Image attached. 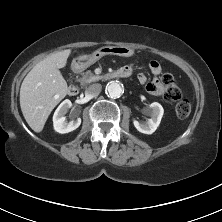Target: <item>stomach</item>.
<instances>
[{
  "label": "stomach",
  "mask_w": 222,
  "mask_h": 222,
  "mask_svg": "<svg viewBox=\"0 0 222 222\" xmlns=\"http://www.w3.org/2000/svg\"><path fill=\"white\" fill-rule=\"evenodd\" d=\"M112 54L123 57H130L134 54L133 49L127 46H106L102 47L99 52L90 56H79L73 59L71 67L74 71H82L95 63L100 57Z\"/></svg>",
  "instance_id": "obj_1"
}]
</instances>
